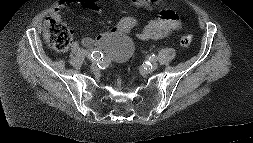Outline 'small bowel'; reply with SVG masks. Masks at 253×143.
<instances>
[{
    "label": "small bowel",
    "instance_id": "small-bowel-1",
    "mask_svg": "<svg viewBox=\"0 0 253 143\" xmlns=\"http://www.w3.org/2000/svg\"><path fill=\"white\" fill-rule=\"evenodd\" d=\"M134 6L151 10L154 3L160 0H129ZM81 2L89 9L94 10L99 0H62L58 6L51 11V16L58 18L62 5L67 3ZM138 24L136 18L126 16L119 20L114 28L109 31L99 33L93 37H84L81 44L85 47L103 45L111 38L131 32ZM181 22L176 12L165 9L160 12L157 18L149 21L145 27L137 33V38L143 41L160 39L173 31L179 30ZM129 52H121L120 59L124 60L129 56Z\"/></svg>",
    "mask_w": 253,
    "mask_h": 143
}]
</instances>
